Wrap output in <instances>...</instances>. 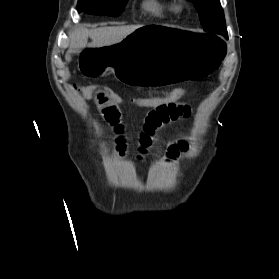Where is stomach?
<instances>
[{"mask_svg": "<svg viewBox=\"0 0 279 279\" xmlns=\"http://www.w3.org/2000/svg\"><path fill=\"white\" fill-rule=\"evenodd\" d=\"M222 34H205L176 25H136L119 43L80 50L76 69L87 82L116 75L136 91H164L180 82H213L228 55Z\"/></svg>", "mask_w": 279, "mask_h": 279, "instance_id": "0dacf381", "label": "stomach"}]
</instances>
